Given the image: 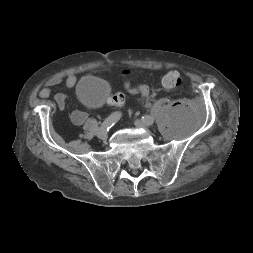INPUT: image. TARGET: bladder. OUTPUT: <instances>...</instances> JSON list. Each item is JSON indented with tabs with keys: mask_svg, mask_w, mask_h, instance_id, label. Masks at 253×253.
<instances>
[{
	"mask_svg": "<svg viewBox=\"0 0 253 253\" xmlns=\"http://www.w3.org/2000/svg\"><path fill=\"white\" fill-rule=\"evenodd\" d=\"M76 95L80 103L88 107H99L108 100L110 89L104 80L88 76L78 82Z\"/></svg>",
	"mask_w": 253,
	"mask_h": 253,
	"instance_id": "obj_1",
	"label": "bladder"
}]
</instances>
